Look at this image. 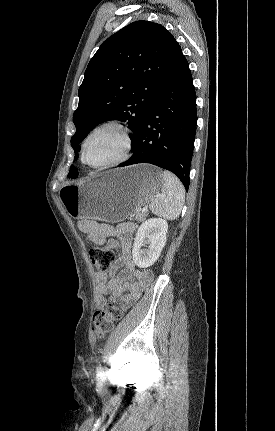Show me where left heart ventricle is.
<instances>
[{
	"label": "left heart ventricle",
	"instance_id": "1",
	"mask_svg": "<svg viewBox=\"0 0 275 431\" xmlns=\"http://www.w3.org/2000/svg\"><path fill=\"white\" fill-rule=\"evenodd\" d=\"M123 150L121 134L112 128L92 136L86 147V159L91 164H103L118 158Z\"/></svg>",
	"mask_w": 275,
	"mask_h": 431
}]
</instances>
